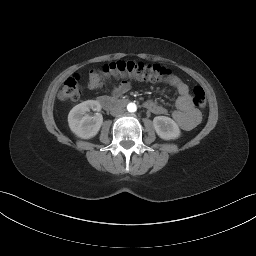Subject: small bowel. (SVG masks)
Here are the masks:
<instances>
[{
    "label": "small bowel",
    "instance_id": "small-bowel-1",
    "mask_svg": "<svg viewBox=\"0 0 256 256\" xmlns=\"http://www.w3.org/2000/svg\"><path fill=\"white\" fill-rule=\"evenodd\" d=\"M166 82L178 93L176 100L177 109L172 113V118L183 130H192L199 124L201 113L193 104L188 85L175 75L168 77ZM130 89L131 83L122 81L112 90L111 94L112 96L119 97ZM145 107L155 114H164L166 112L165 108L152 100L146 101Z\"/></svg>",
    "mask_w": 256,
    "mask_h": 256
}]
</instances>
